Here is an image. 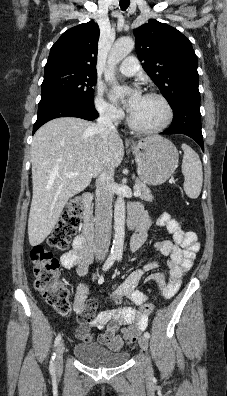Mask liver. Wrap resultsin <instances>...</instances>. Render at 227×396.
<instances>
[{"instance_id": "liver-1", "label": "liver", "mask_w": 227, "mask_h": 396, "mask_svg": "<svg viewBox=\"0 0 227 396\" xmlns=\"http://www.w3.org/2000/svg\"><path fill=\"white\" fill-rule=\"evenodd\" d=\"M124 145L114 132L104 141L95 124L76 117H61L44 124L31 145L33 196L28 219L31 246L51 233L64 206L89 186L104 169L117 168ZM69 172L78 176L69 178Z\"/></svg>"}]
</instances>
